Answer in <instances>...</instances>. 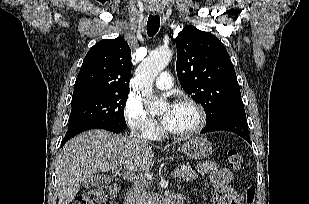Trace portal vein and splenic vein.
<instances>
[{"label":"portal vein and splenic vein","instance_id":"portal-vein-and-splenic-vein-1","mask_svg":"<svg viewBox=\"0 0 309 204\" xmlns=\"http://www.w3.org/2000/svg\"><path fill=\"white\" fill-rule=\"evenodd\" d=\"M121 169H122L121 167H117V168L113 169L115 175H123V177H125L128 180L137 179V177L133 173H131V172H121ZM171 175L173 177H175L176 171L172 172Z\"/></svg>","mask_w":309,"mask_h":204}]
</instances>
